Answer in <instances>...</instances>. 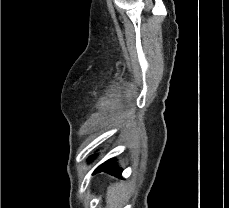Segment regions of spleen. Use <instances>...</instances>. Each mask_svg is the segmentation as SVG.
I'll return each instance as SVG.
<instances>
[{"label": "spleen", "mask_w": 229, "mask_h": 208, "mask_svg": "<svg viewBox=\"0 0 229 208\" xmlns=\"http://www.w3.org/2000/svg\"><path fill=\"white\" fill-rule=\"evenodd\" d=\"M106 200L107 204H110L112 208H123L128 200V194L123 184H113V186H110Z\"/></svg>", "instance_id": "obj_1"}]
</instances>
